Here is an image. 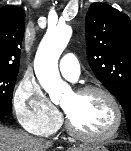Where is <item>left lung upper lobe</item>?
Masks as SVG:
<instances>
[{
  "mask_svg": "<svg viewBox=\"0 0 131 151\" xmlns=\"http://www.w3.org/2000/svg\"><path fill=\"white\" fill-rule=\"evenodd\" d=\"M87 57L92 71L119 100L131 135V23L108 4L93 3L86 14Z\"/></svg>",
  "mask_w": 131,
  "mask_h": 151,
  "instance_id": "1",
  "label": "left lung upper lobe"
}]
</instances>
